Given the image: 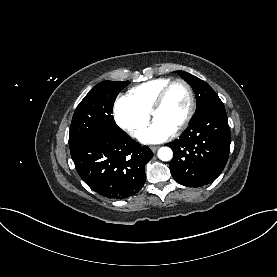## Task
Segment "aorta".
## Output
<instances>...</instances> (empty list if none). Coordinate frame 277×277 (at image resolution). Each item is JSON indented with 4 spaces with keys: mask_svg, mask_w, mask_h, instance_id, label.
I'll return each instance as SVG.
<instances>
[{
    "mask_svg": "<svg viewBox=\"0 0 277 277\" xmlns=\"http://www.w3.org/2000/svg\"><path fill=\"white\" fill-rule=\"evenodd\" d=\"M173 157V152L169 147H161L158 150V158L162 161H169Z\"/></svg>",
    "mask_w": 277,
    "mask_h": 277,
    "instance_id": "1",
    "label": "aorta"
}]
</instances>
